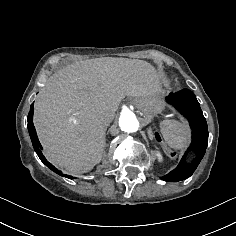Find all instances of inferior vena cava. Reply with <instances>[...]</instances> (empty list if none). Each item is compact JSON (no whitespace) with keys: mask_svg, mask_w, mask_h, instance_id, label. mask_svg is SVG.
Masks as SVG:
<instances>
[{"mask_svg":"<svg viewBox=\"0 0 236 236\" xmlns=\"http://www.w3.org/2000/svg\"><path fill=\"white\" fill-rule=\"evenodd\" d=\"M104 121H105L107 124H110V123L113 121V118H112L110 115H107V116L104 118Z\"/></svg>","mask_w":236,"mask_h":236,"instance_id":"obj_1","label":"inferior vena cava"}]
</instances>
